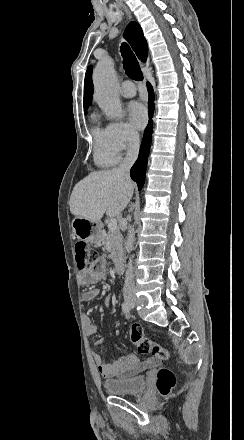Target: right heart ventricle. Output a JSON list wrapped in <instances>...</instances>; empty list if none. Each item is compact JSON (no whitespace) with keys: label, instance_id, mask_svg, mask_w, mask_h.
<instances>
[{"label":"right heart ventricle","instance_id":"obj_1","mask_svg":"<svg viewBox=\"0 0 244 440\" xmlns=\"http://www.w3.org/2000/svg\"><path fill=\"white\" fill-rule=\"evenodd\" d=\"M90 122L92 126L93 135L96 149H95V161L98 165L103 167L113 166L120 161V155L117 152H111L107 149L101 150L99 146L106 143L105 130L99 125V117L97 114L92 113L90 116Z\"/></svg>","mask_w":244,"mask_h":440}]
</instances>
